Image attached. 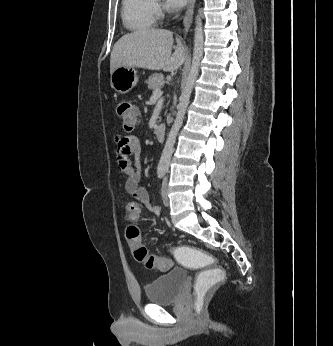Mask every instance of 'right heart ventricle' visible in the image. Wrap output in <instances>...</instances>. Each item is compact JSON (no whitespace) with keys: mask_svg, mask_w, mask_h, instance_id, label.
Returning a JSON list of instances; mask_svg holds the SVG:
<instances>
[{"mask_svg":"<svg viewBox=\"0 0 333 346\" xmlns=\"http://www.w3.org/2000/svg\"><path fill=\"white\" fill-rule=\"evenodd\" d=\"M122 20L131 31H143L155 24L153 0H122Z\"/></svg>","mask_w":333,"mask_h":346,"instance_id":"1","label":"right heart ventricle"}]
</instances>
